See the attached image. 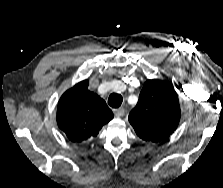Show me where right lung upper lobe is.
Instances as JSON below:
<instances>
[{"label": "right lung upper lobe", "instance_id": "1", "mask_svg": "<svg viewBox=\"0 0 223 188\" xmlns=\"http://www.w3.org/2000/svg\"><path fill=\"white\" fill-rule=\"evenodd\" d=\"M89 82L81 81L60 98L57 123L68 139L81 143L97 136L113 118L111 109L97 94L88 90Z\"/></svg>", "mask_w": 223, "mask_h": 188}]
</instances>
